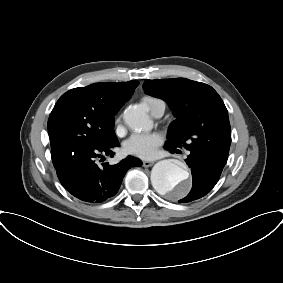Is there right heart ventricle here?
Segmentation results:
<instances>
[{"label": "right heart ventricle", "mask_w": 283, "mask_h": 283, "mask_svg": "<svg viewBox=\"0 0 283 283\" xmlns=\"http://www.w3.org/2000/svg\"><path fill=\"white\" fill-rule=\"evenodd\" d=\"M142 102L151 110H152L161 102H163L162 100L152 97V96H144L142 98Z\"/></svg>", "instance_id": "right-heart-ventricle-1"}]
</instances>
